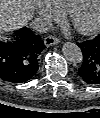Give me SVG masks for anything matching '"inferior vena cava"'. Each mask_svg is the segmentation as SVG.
Wrapping results in <instances>:
<instances>
[{"instance_id":"inferior-vena-cava-1","label":"inferior vena cava","mask_w":100,"mask_h":118,"mask_svg":"<svg viewBox=\"0 0 100 118\" xmlns=\"http://www.w3.org/2000/svg\"><path fill=\"white\" fill-rule=\"evenodd\" d=\"M33 28L40 33H44L52 28V24L50 20L39 17L34 20Z\"/></svg>"}]
</instances>
